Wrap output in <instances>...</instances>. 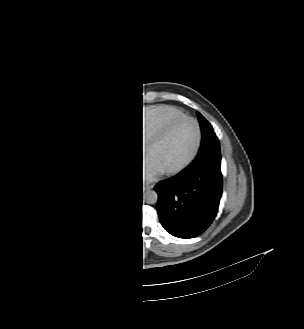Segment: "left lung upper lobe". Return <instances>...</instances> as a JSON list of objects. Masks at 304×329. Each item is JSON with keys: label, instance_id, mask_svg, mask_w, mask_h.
Listing matches in <instances>:
<instances>
[{"label": "left lung upper lobe", "instance_id": "5c2ea615", "mask_svg": "<svg viewBox=\"0 0 304 329\" xmlns=\"http://www.w3.org/2000/svg\"><path fill=\"white\" fill-rule=\"evenodd\" d=\"M197 116L202 132V141L198 155L193 163H195L201 156L207 153L212 147L219 145L218 138L210 123L199 112H197Z\"/></svg>", "mask_w": 304, "mask_h": 329}]
</instances>
